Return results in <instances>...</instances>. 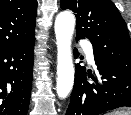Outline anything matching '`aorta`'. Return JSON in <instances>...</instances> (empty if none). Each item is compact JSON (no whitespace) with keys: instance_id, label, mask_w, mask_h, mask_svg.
Masks as SVG:
<instances>
[{"instance_id":"aorta-1","label":"aorta","mask_w":131,"mask_h":115,"mask_svg":"<svg viewBox=\"0 0 131 115\" xmlns=\"http://www.w3.org/2000/svg\"><path fill=\"white\" fill-rule=\"evenodd\" d=\"M75 27V17L69 11L59 13L55 20L57 44V95L66 98L74 83V65L72 61L71 39Z\"/></svg>"}]
</instances>
